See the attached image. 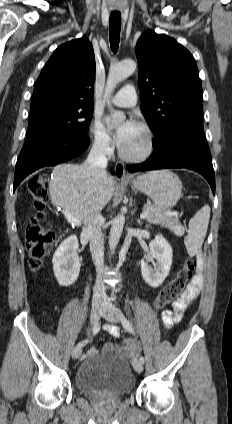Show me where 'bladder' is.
<instances>
[{"instance_id":"bladder-1","label":"bladder","mask_w":232,"mask_h":424,"mask_svg":"<svg viewBox=\"0 0 232 424\" xmlns=\"http://www.w3.org/2000/svg\"><path fill=\"white\" fill-rule=\"evenodd\" d=\"M75 383L86 394L122 396L134 388L136 379L125 358L97 355L80 364Z\"/></svg>"}]
</instances>
